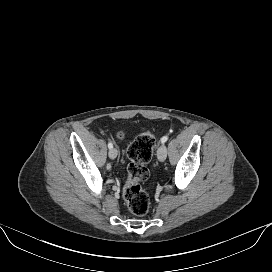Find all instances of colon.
Returning a JSON list of instances; mask_svg holds the SVG:
<instances>
[{"label": "colon", "mask_w": 272, "mask_h": 272, "mask_svg": "<svg viewBox=\"0 0 272 272\" xmlns=\"http://www.w3.org/2000/svg\"><path fill=\"white\" fill-rule=\"evenodd\" d=\"M117 136L122 137L120 133ZM154 147L155 139L146 131L138 135L127 149L130 162L123 197L130 212L136 216H144L150 207L149 197L142 188L141 182L149 177L147 163L152 158Z\"/></svg>", "instance_id": "5ec220e1"}]
</instances>
